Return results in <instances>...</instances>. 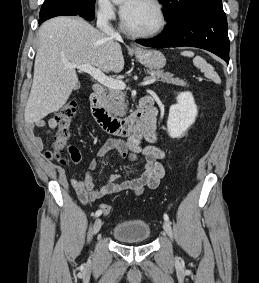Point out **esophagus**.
Instances as JSON below:
<instances>
[{
    "label": "esophagus",
    "instance_id": "1",
    "mask_svg": "<svg viewBox=\"0 0 259 283\" xmlns=\"http://www.w3.org/2000/svg\"><path fill=\"white\" fill-rule=\"evenodd\" d=\"M131 46H132V48L135 49V50L138 49V47H137L135 44H132Z\"/></svg>",
    "mask_w": 259,
    "mask_h": 283
}]
</instances>
